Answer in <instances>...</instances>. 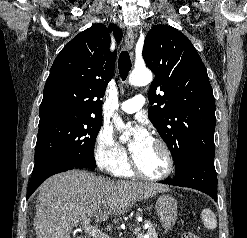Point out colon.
Returning <instances> with one entry per match:
<instances>
[{
    "mask_svg": "<svg viewBox=\"0 0 247 238\" xmlns=\"http://www.w3.org/2000/svg\"><path fill=\"white\" fill-rule=\"evenodd\" d=\"M182 238H201V237L194 232H185L182 235Z\"/></svg>",
    "mask_w": 247,
    "mask_h": 238,
    "instance_id": "1",
    "label": "colon"
}]
</instances>
